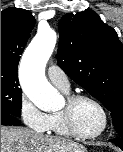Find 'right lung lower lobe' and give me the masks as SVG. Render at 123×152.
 <instances>
[{"label": "right lung lower lobe", "mask_w": 123, "mask_h": 152, "mask_svg": "<svg viewBox=\"0 0 123 152\" xmlns=\"http://www.w3.org/2000/svg\"><path fill=\"white\" fill-rule=\"evenodd\" d=\"M20 121L11 115H1V125H18Z\"/></svg>", "instance_id": "right-lung-lower-lobe-1"}]
</instances>
